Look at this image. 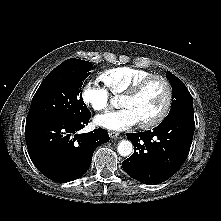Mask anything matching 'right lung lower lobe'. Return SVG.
I'll return each mask as SVG.
<instances>
[{
	"mask_svg": "<svg viewBox=\"0 0 221 221\" xmlns=\"http://www.w3.org/2000/svg\"><path fill=\"white\" fill-rule=\"evenodd\" d=\"M90 116L26 121L25 137L30 158L47 178L68 182L82 176L90 167L97 146L109 141L107 131L101 128L77 134L89 122Z\"/></svg>",
	"mask_w": 221,
	"mask_h": 221,
	"instance_id": "right-lung-lower-lobe-1",
	"label": "right lung lower lobe"
}]
</instances>
